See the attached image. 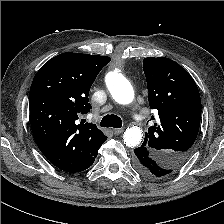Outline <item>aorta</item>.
I'll return each instance as SVG.
<instances>
[{
	"label": "aorta",
	"instance_id": "aorta-1",
	"mask_svg": "<svg viewBox=\"0 0 224 224\" xmlns=\"http://www.w3.org/2000/svg\"><path fill=\"white\" fill-rule=\"evenodd\" d=\"M106 85L117 103L127 105L133 101V87L118 71H112L106 75ZM142 137L143 133L139 127L127 128L123 134L124 144L128 147H135L140 144Z\"/></svg>",
	"mask_w": 224,
	"mask_h": 224
}]
</instances>
